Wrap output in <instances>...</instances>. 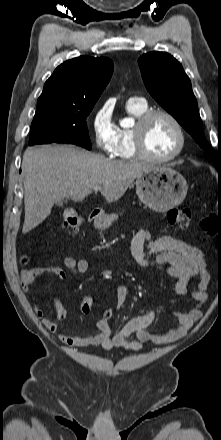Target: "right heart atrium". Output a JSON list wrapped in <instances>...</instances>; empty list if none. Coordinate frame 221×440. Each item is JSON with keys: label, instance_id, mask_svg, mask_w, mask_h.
Segmentation results:
<instances>
[{"label": "right heart atrium", "instance_id": "1", "mask_svg": "<svg viewBox=\"0 0 221 440\" xmlns=\"http://www.w3.org/2000/svg\"><path fill=\"white\" fill-rule=\"evenodd\" d=\"M91 129L97 148L106 154H113L118 141V127L113 122L109 106L104 105L97 109L92 118Z\"/></svg>", "mask_w": 221, "mask_h": 440}]
</instances>
